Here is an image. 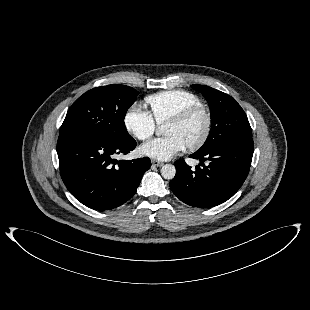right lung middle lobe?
<instances>
[{"mask_svg":"<svg viewBox=\"0 0 310 310\" xmlns=\"http://www.w3.org/2000/svg\"><path fill=\"white\" fill-rule=\"evenodd\" d=\"M139 92L125 85L93 88L71 106L60 128V135L81 133L120 142L131 136L124 118Z\"/></svg>","mask_w":310,"mask_h":310,"instance_id":"obj_1","label":"right lung middle lobe"}]
</instances>
